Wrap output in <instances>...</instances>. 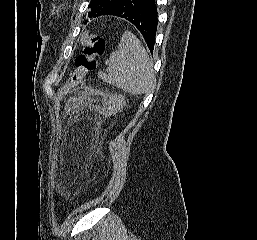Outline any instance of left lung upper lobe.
<instances>
[{
    "label": "left lung upper lobe",
    "instance_id": "left-lung-upper-lobe-1",
    "mask_svg": "<svg viewBox=\"0 0 257 240\" xmlns=\"http://www.w3.org/2000/svg\"><path fill=\"white\" fill-rule=\"evenodd\" d=\"M120 0H91L89 4V17L101 16L105 11L116 5Z\"/></svg>",
    "mask_w": 257,
    "mask_h": 240
}]
</instances>
